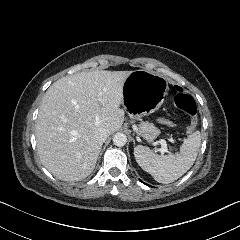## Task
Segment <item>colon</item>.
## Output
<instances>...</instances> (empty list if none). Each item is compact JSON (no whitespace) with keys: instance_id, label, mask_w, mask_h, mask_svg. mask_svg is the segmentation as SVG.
<instances>
[{"instance_id":"1","label":"colon","mask_w":240,"mask_h":240,"mask_svg":"<svg viewBox=\"0 0 240 240\" xmlns=\"http://www.w3.org/2000/svg\"><path fill=\"white\" fill-rule=\"evenodd\" d=\"M175 106L188 114L191 118L190 127H186V135H191V131H194L198 127V107L195 101L187 95H179L175 97L174 100ZM162 126L173 128V119L162 118Z\"/></svg>"}]
</instances>
